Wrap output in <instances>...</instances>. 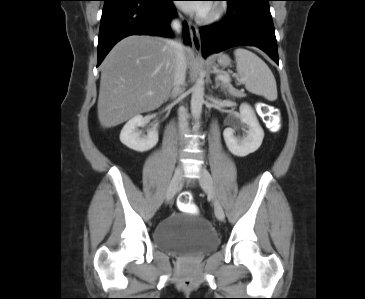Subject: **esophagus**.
Wrapping results in <instances>:
<instances>
[{
  "label": "esophagus",
  "mask_w": 365,
  "mask_h": 299,
  "mask_svg": "<svg viewBox=\"0 0 365 299\" xmlns=\"http://www.w3.org/2000/svg\"><path fill=\"white\" fill-rule=\"evenodd\" d=\"M189 31H190V37L192 41L193 48L196 51L201 50V38L199 34V29L196 25H194L192 22L188 21Z\"/></svg>",
  "instance_id": "esophagus-1"
}]
</instances>
